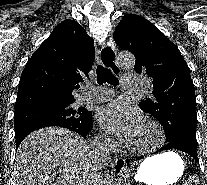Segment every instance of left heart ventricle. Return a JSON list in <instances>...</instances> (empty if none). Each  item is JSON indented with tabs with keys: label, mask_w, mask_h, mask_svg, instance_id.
I'll use <instances>...</instances> for the list:
<instances>
[{
	"label": "left heart ventricle",
	"mask_w": 207,
	"mask_h": 185,
	"mask_svg": "<svg viewBox=\"0 0 207 185\" xmlns=\"http://www.w3.org/2000/svg\"><path fill=\"white\" fill-rule=\"evenodd\" d=\"M158 139L160 137L156 130L144 122L129 141L138 149H146L150 143Z\"/></svg>",
	"instance_id": "obj_1"
}]
</instances>
